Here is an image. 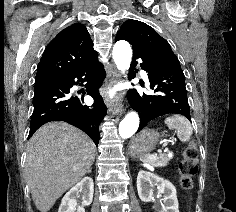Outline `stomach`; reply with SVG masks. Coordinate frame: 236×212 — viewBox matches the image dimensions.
Segmentation results:
<instances>
[{
  "label": "stomach",
  "mask_w": 236,
  "mask_h": 212,
  "mask_svg": "<svg viewBox=\"0 0 236 212\" xmlns=\"http://www.w3.org/2000/svg\"><path fill=\"white\" fill-rule=\"evenodd\" d=\"M159 133L152 129L143 130L132 141L130 153L132 156L144 155L154 149L159 141Z\"/></svg>",
  "instance_id": "obj_1"
}]
</instances>
